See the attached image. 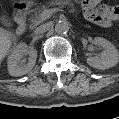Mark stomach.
I'll list each match as a JSON object with an SVG mask.
<instances>
[{
	"label": "stomach",
	"mask_w": 119,
	"mask_h": 119,
	"mask_svg": "<svg viewBox=\"0 0 119 119\" xmlns=\"http://www.w3.org/2000/svg\"><path fill=\"white\" fill-rule=\"evenodd\" d=\"M32 0H25L26 5H30Z\"/></svg>",
	"instance_id": "0dacf381"
}]
</instances>
